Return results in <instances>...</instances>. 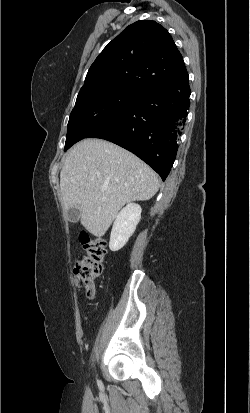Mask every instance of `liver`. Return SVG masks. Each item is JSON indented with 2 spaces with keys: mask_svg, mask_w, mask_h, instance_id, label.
Listing matches in <instances>:
<instances>
[{
  "mask_svg": "<svg viewBox=\"0 0 250 413\" xmlns=\"http://www.w3.org/2000/svg\"><path fill=\"white\" fill-rule=\"evenodd\" d=\"M60 189L64 211L79 209L81 224L101 237L126 203L152 198L159 179L147 164L120 146L85 139L67 154Z\"/></svg>",
  "mask_w": 250,
  "mask_h": 413,
  "instance_id": "6515ba94",
  "label": "liver"
}]
</instances>
